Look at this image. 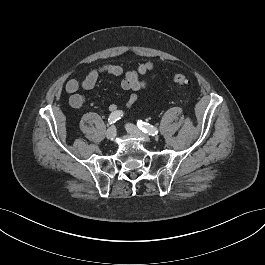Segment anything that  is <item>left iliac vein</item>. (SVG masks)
Masks as SVG:
<instances>
[{
	"instance_id": "left-iliac-vein-1",
	"label": "left iliac vein",
	"mask_w": 265,
	"mask_h": 265,
	"mask_svg": "<svg viewBox=\"0 0 265 265\" xmlns=\"http://www.w3.org/2000/svg\"><path fill=\"white\" fill-rule=\"evenodd\" d=\"M126 129L131 135L142 139L144 142H146V143L152 142V139L147 134L140 131L135 125L127 124Z\"/></svg>"
}]
</instances>
